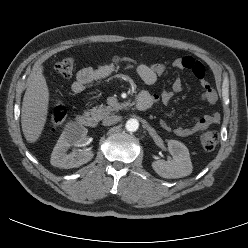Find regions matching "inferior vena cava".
Instances as JSON below:
<instances>
[{
    "label": "inferior vena cava",
    "mask_w": 248,
    "mask_h": 248,
    "mask_svg": "<svg viewBox=\"0 0 248 248\" xmlns=\"http://www.w3.org/2000/svg\"><path fill=\"white\" fill-rule=\"evenodd\" d=\"M118 120H120V116L117 115H111V116H106L103 121L102 124L104 126H109L111 124H114L115 122H117Z\"/></svg>",
    "instance_id": "inferior-vena-cava-1"
}]
</instances>
